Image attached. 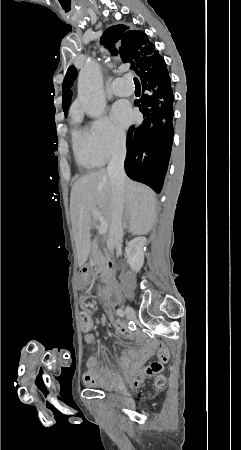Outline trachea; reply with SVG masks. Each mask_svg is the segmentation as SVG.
Listing matches in <instances>:
<instances>
[{"instance_id": "trachea-1", "label": "trachea", "mask_w": 241, "mask_h": 450, "mask_svg": "<svg viewBox=\"0 0 241 450\" xmlns=\"http://www.w3.org/2000/svg\"><path fill=\"white\" fill-rule=\"evenodd\" d=\"M134 83H135V85H140L138 78H136V77L134 78Z\"/></svg>"}]
</instances>
